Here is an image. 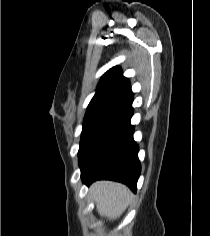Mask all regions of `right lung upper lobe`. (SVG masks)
I'll return each instance as SVG.
<instances>
[{"label": "right lung upper lobe", "instance_id": "cb5924a9", "mask_svg": "<svg viewBox=\"0 0 210 236\" xmlns=\"http://www.w3.org/2000/svg\"><path fill=\"white\" fill-rule=\"evenodd\" d=\"M123 91L131 92L130 82L122 75L120 67H113L102 76L91 102L111 98Z\"/></svg>", "mask_w": 210, "mask_h": 236}]
</instances>
